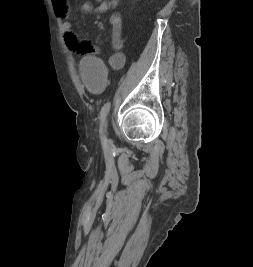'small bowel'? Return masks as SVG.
Instances as JSON below:
<instances>
[{"instance_id": "small-bowel-1", "label": "small bowel", "mask_w": 253, "mask_h": 267, "mask_svg": "<svg viewBox=\"0 0 253 267\" xmlns=\"http://www.w3.org/2000/svg\"><path fill=\"white\" fill-rule=\"evenodd\" d=\"M80 1V0H76ZM94 3H97L95 5ZM118 0H89L81 5L83 13H105L118 5ZM55 13L63 20V41L67 48L78 56L89 52H100L99 47L89 43L79 42L77 36L72 31L71 20L72 11L69 0H52ZM111 46L115 52L110 57L112 67L119 69L125 64V55L122 53V18L120 13L114 12L109 18Z\"/></svg>"}]
</instances>
